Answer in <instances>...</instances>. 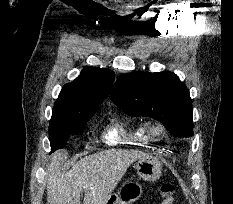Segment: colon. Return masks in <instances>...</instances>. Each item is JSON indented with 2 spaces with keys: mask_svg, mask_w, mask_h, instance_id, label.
Instances as JSON below:
<instances>
[{
  "mask_svg": "<svg viewBox=\"0 0 233 204\" xmlns=\"http://www.w3.org/2000/svg\"><path fill=\"white\" fill-rule=\"evenodd\" d=\"M174 203V187L170 183H165L160 189V204Z\"/></svg>",
  "mask_w": 233,
  "mask_h": 204,
  "instance_id": "colon-1",
  "label": "colon"
}]
</instances>
